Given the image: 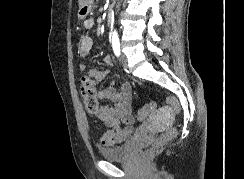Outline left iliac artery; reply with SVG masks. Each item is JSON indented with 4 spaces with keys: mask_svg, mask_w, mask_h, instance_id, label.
Segmentation results:
<instances>
[{
    "mask_svg": "<svg viewBox=\"0 0 244 179\" xmlns=\"http://www.w3.org/2000/svg\"><path fill=\"white\" fill-rule=\"evenodd\" d=\"M112 47L116 56L120 55V43L118 33L114 31L112 33Z\"/></svg>",
    "mask_w": 244,
    "mask_h": 179,
    "instance_id": "44dca946",
    "label": "left iliac artery"
}]
</instances>
